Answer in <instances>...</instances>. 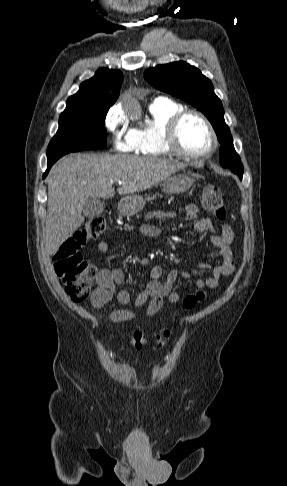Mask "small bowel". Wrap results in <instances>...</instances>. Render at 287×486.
Instances as JSON below:
<instances>
[{"label": "small bowel", "mask_w": 287, "mask_h": 486, "mask_svg": "<svg viewBox=\"0 0 287 486\" xmlns=\"http://www.w3.org/2000/svg\"><path fill=\"white\" fill-rule=\"evenodd\" d=\"M178 215L176 211H151L145 216L138 230L142 235L159 238L161 235L160 229L150 224L149 221L152 219H175ZM186 217L190 220H196L194 228L197 232H206L213 227L209 218H198V207L194 204L186 208ZM233 239L234 233L228 224H223L220 233L210 237L211 243L219 251L220 264L214 267L207 264L201 265V268L211 270V276L205 280L201 278L195 279L194 285L197 288H216L222 277L230 276L235 272L236 266L231 250ZM97 248L100 252L105 253L109 250V244L102 240L98 243ZM150 275L151 280L145 284L143 289L135 296H131L126 290L116 289L117 286L124 282L123 271L117 268H103L97 274V286L90 296V302L93 307L101 308L113 298H116L124 306L140 308L147 305L145 314L154 315L162 307L164 298H167L171 303H177L180 300V295L173 290V285L178 277H188L189 274L187 272L172 269L164 276L162 266L154 265L151 268ZM136 317L137 312L128 308L115 310L111 314V319L114 322L128 321Z\"/></svg>", "instance_id": "small-bowel-1"}]
</instances>
